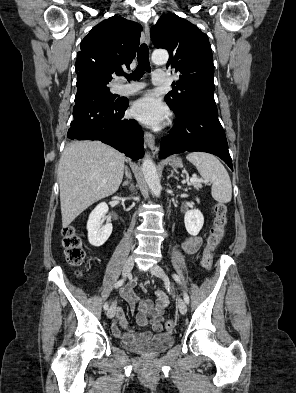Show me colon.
Returning <instances> with one entry per match:
<instances>
[{"mask_svg": "<svg viewBox=\"0 0 296 393\" xmlns=\"http://www.w3.org/2000/svg\"><path fill=\"white\" fill-rule=\"evenodd\" d=\"M213 225L207 239V244L203 251L202 266L209 270L212 267L213 252L222 241L227 224V206L224 203L214 205ZM63 248L66 260L70 265L79 266L85 258L83 242L77 230L73 226H67L63 229ZM167 330L175 328V322L168 320L165 324Z\"/></svg>", "mask_w": 296, "mask_h": 393, "instance_id": "1", "label": "colon"}]
</instances>
